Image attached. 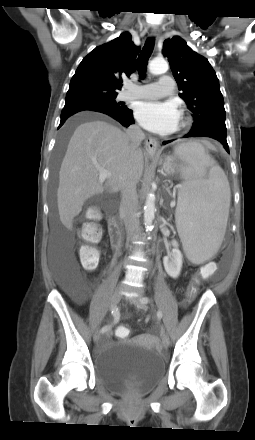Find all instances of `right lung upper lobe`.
<instances>
[{"label": "right lung upper lobe", "mask_w": 255, "mask_h": 440, "mask_svg": "<svg viewBox=\"0 0 255 440\" xmlns=\"http://www.w3.org/2000/svg\"><path fill=\"white\" fill-rule=\"evenodd\" d=\"M139 51L129 32L96 47L79 64L70 81L66 102L83 100L93 93L117 94L122 76L129 77L136 70Z\"/></svg>", "instance_id": "1"}]
</instances>
